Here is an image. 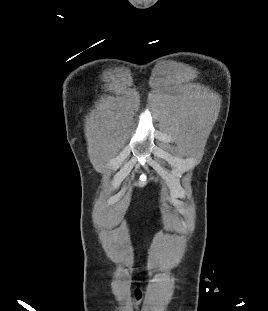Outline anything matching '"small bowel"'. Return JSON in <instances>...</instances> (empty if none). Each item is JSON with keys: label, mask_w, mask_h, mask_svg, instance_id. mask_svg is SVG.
Instances as JSON below:
<instances>
[{"label": "small bowel", "mask_w": 268, "mask_h": 311, "mask_svg": "<svg viewBox=\"0 0 268 311\" xmlns=\"http://www.w3.org/2000/svg\"><path fill=\"white\" fill-rule=\"evenodd\" d=\"M135 297H136L137 300L141 299L142 295H141V292L139 290L135 291Z\"/></svg>", "instance_id": "small-bowel-1"}]
</instances>
